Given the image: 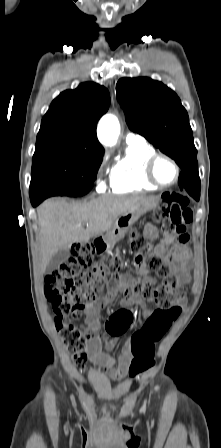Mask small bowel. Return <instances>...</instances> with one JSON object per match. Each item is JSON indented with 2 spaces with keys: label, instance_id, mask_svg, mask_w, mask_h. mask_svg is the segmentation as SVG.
<instances>
[{
  "label": "small bowel",
  "instance_id": "obj_1",
  "mask_svg": "<svg viewBox=\"0 0 221 448\" xmlns=\"http://www.w3.org/2000/svg\"><path fill=\"white\" fill-rule=\"evenodd\" d=\"M146 233L155 235L157 230L153 225L148 224L146 226ZM188 242V234L185 237L179 238L165 236L156 246V251L168 260L169 267L180 275L183 283H187L190 279V252ZM169 243H173V247L170 251H167L166 246ZM137 264L142 269L141 263L137 262ZM105 280L107 283V291L105 295L99 296L95 302L86 305L83 311L75 313L73 318L83 319L86 325V330L89 333V340L85 347L86 359L88 358L98 364L104 371L108 372L110 378L113 380H119L126 375L129 365L134 359L132 340L125 344L122 351L117 356L102 352V343L105 342L107 348L113 349L118 338L132 323L133 315L129 308L138 301V298L133 291V284L136 280H130L123 275H114L111 273L106 274ZM143 282L153 284L155 283V279L145 273ZM117 293L122 294L121 305L123 309L115 312L108 319L107 333H104L100 319L101 309L108 305L115 298ZM184 302L185 300L182 297H179L176 300L177 304H184ZM155 311L156 309L150 307L143 308V314L148 318H150ZM139 335L146 340L148 339L144 333H139Z\"/></svg>",
  "mask_w": 221,
  "mask_h": 448
}]
</instances>
